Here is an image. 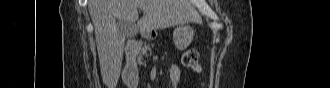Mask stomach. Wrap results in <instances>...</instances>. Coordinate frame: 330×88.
I'll return each mask as SVG.
<instances>
[{"label": "stomach", "mask_w": 330, "mask_h": 88, "mask_svg": "<svg viewBox=\"0 0 330 88\" xmlns=\"http://www.w3.org/2000/svg\"><path fill=\"white\" fill-rule=\"evenodd\" d=\"M146 37L151 39L152 33L146 34ZM194 30L190 26L180 25L173 32V41L179 50H185L192 42Z\"/></svg>", "instance_id": "1"}]
</instances>
